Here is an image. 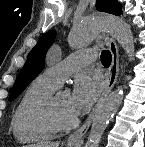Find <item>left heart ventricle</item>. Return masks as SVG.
<instances>
[{
  "instance_id": "obj_1",
  "label": "left heart ventricle",
  "mask_w": 145,
  "mask_h": 147,
  "mask_svg": "<svg viewBox=\"0 0 145 147\" xmlns=\"http://www.w3.org/2000/svg\"><path fill=\"white\" fill-rule=\"evenodd\" d=\"M71 95L67 92H61L57 96V105L60 113L65 117V118H73L75 117L71 111Z\"/></svg>"
}]
</instances>
